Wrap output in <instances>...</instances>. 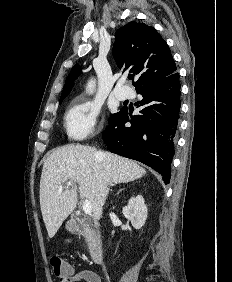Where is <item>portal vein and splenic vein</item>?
Returning <instances> with one entry per match:
<instances>
[{
    "label": "portal vein and splenic vein",
    "mask_w": 232,
    "mask_h": 282,
    "mask_svg": "<svg viewBox=\"0 0 232 282\" xmlns=\"http://www.w3.org/2000/svg\"><path fill=\"white\" fill-rule=\"evenodd\" d=\"M67 187H70L72 186V183L71 182H67L66 183ZM62 189H63V186L60 185L59 186V192H62ZM83 211L86 215H91L92 213V205H91V202L88 201L87 199L83 202Z\"/></svg>",
    "instance_id": "18ae733b"
}]
</instances>
